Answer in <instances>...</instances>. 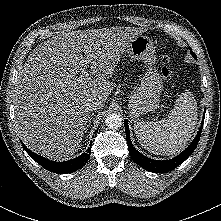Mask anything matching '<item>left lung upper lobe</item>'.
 <instances>
[{
    "label": "left lung upper lobe",
    "mask_w": 221,
    "mask_h": 221,
    "mask_svg": "<svg viewBox=\"0 0 221 221\" xmlns=\"http://www.w3.org/2000/svg\"><path fill=\"white\" fill-rule=\"evenodd\" d=\"M190 51H191L192 56H193L195 59H197L196 54L192 51L191 48H190Z\"/></svg>",
    "instance_id": "1"
}]
</instances>
